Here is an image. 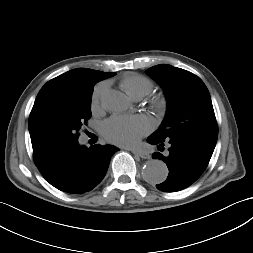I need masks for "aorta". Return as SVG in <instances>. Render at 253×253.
I'll use <instances>...</instances> for the list:
<instances>
[{"label":"aorta","instance_id":"1","mask_svg":"<svg viewBox=\"0 0 253 253\" xmlns=\"http://www.w3.org/2000/svg\"><path fill=\"white\" fill-rule=\"evenodd\" d=\"M102 105L111 112L122 113L129 108L127 96L118 90H109L102 97ZM143 178L151 184H160L167 179V165L158 159L148 160L142 170Z\"/></svg>","mask_w":253,"mask_h":253}]
</instances>
